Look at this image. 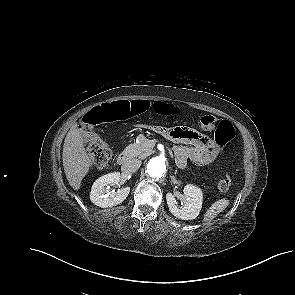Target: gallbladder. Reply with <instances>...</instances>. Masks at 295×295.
<instances>
[{
  "label": "gallbladder",
  "instance_id": "1",
  "mask_svg": "<svg viewBox=\"0 0 295 295\" xmlns=\"http://www.w3.org/2000/svg\"><path fill=\"white\" fill-rule=\"evenodd\" d=\"M91 140H92V136H89V137L86 138V141H87V142H89V141H91Z\"/></svg>",
  "mask_w": 295,
  "mask_h": 295
}]
</instances>
